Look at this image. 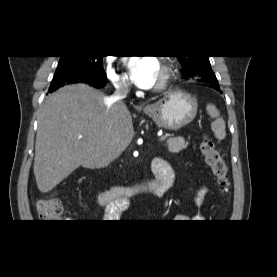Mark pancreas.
Listing matches in <instances>:
<instances>
[{"label":"pancreas","instance_id":"cf45deb5","mask_svg":"<svg viewBox=\"0 0 277 277\" xmlns=\"http://www.w3.org/2000/svg\"><path fill=\"white\" fill-rule=\"evenodd\" d=\"M168 151L171 153H178L187 147V143L183 137L169 138L166 141Z\"/></svg>","mask_w":277,"mask_h":277}]
</instances>
